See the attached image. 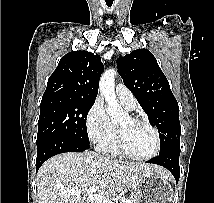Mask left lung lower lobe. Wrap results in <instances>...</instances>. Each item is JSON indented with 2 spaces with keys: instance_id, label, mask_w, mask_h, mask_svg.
I'll return each mask as SVG.
<instances>
[{
  "instance_id": "obj_1",
  "label": "left lung lower lobe",
  "mask_w": 214,
  "mask_h": 203,
  "mask_svg": "<svg viewBox=\"0 0 214 203\" xmlns=\"http://www.w3.org/2000/svg\"><path fill=\"white\" fill-rule=\"evenodd\" d=\"M179 156L180 148L171 149L159 154L158 157L147 161V163L157 164L167 168L173 174L177 183L180 177Z\"/></svg>"
}]
</instances>
